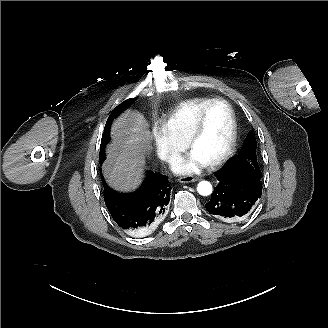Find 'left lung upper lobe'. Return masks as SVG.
Instances as JSON below:
<instances>
[{"label": "left lung upper lobe", "instance_id": "obj_1", "mask_svg": "<svg viewBox=\"0 0 328 328\" xmlns=\"http://www.w3.org/2000/svg\"><path fill=\"white\" fill-rule=\"evenodd\" d=\"M256 147V138L254 133L251 132L246 138L239 154L233 157L225 166L253 171L258 178H261V170L256 156Z\"/></svg>", "mask_w": 328, "mask_h": 328}]
</instances>
